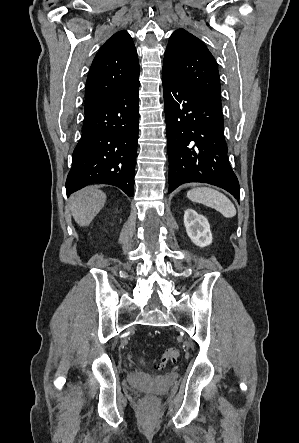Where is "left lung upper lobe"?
Instances as JSON below:
<instances>
[{"label":"left lung upper lobe","instance_id":"1","mask_svg":"<svg viewBox=\"0 0 299 443\" xmlns=\"http://www.w3.org/2000/svg\"><path fill=\"white\" fill-rule=\"evenodd\" d=\"M163 70L221 106L216 61L205 44L191 33L178 29L171 35Z\"/></svg>","mask_w":299,"mask_h":443}]
</instances>
